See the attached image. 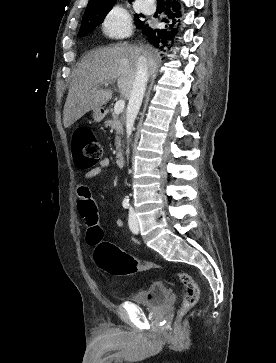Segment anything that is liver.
<instances>
[{
  "instance_id": "obj_1",
  "label": "liver",
  "mask_w": 276,
  "mask_h": 363,
  "mask_svg": "<svg viewBox=\"0 0 276 363\" xmlns=\"http://www.w3.org/2000/svg\"><path fill=\"white\" fill-rule=\"evenodd\" d=\"M139 59L146 62L148 76L157 71V55L149 45L118 44L87 53L78 64L63 112L64 127H70L91 110L105 105L112 91L99 87L113 80L122 97L128 99Z\"/></svg>"
}]
</instances>
